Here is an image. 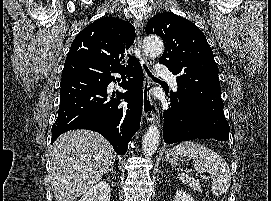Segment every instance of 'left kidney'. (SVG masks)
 <instances>
[{"label": "left kidney", "instance_id": "1", "mask_svg": "<svg viewBox=\"0 0 271 201\" xmlns=\"http://www.w3.org/2000/svg\"><path fill=\"white\" fill-rule=\"evenodd\" d=\"M174 201H195L189 194L184 191L178 190Z\"/></svg>", "mask_w": 271, "mask_h": 201}]
</instances>
